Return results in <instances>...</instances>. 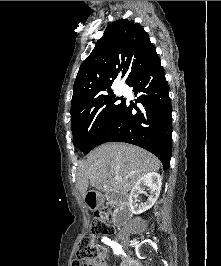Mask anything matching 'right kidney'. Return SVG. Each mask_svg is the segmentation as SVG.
I'll return each mask as SVG.
<instances>
[{"instance_id":"right-kidney-1","label":"right kidney","mask_w":221,"mask_h":266,"mask_svg":"<svg viewBox=\"0 0 221 266\" xmlns=\"http://www.w3.org/2000/svg\"><path fill=\"white\" fill-rule=\"evenodd\" d=\"M162 185V177L156 172L143 175L135 184L130 193V206L134 214H141L150 209L159 197ZM148 187L151 191L148 200L140 203L139 194Z\"/></svg>"}]
</instances>
